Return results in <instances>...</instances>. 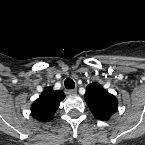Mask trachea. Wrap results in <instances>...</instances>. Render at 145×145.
<instances>
[{"label": "trachea", "mask_w": 145, "mask_h": 145, "mask_svg": "<svg viewBox=\"0 0 145 145\" xmlns=\"http://www.w3.org/2000/svg\"><path fill=\"white\" fill-rule=\"evenodd\" d=\"M64 84H65V87L67 89H74L75 88V83L71 78H66Z\"/></svg>", "instance_id": "3493384b"}]
</instances>
